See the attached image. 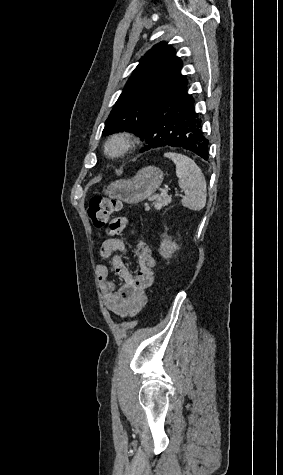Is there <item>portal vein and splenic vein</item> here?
<instances>
[{
  "label": "portal vein and splenic vein",
  "mask_w": 283,
  "mask_h": 475,
  "mask_svg": "<svg viewBox=\"0 0 283 475\" xmlns=\"http://www.w3.org/2000/svg\"><path fill=\"white\" fill-rule=\"evenodd\" d=\"M175 193H176L175 194L176 198H181L182 197V194H181L182 192L181 191H178V192L176 191Z\"/></svg>",
  "instance_id": "portal-vein-and-splenic-vein-1"
}]
</instances>
